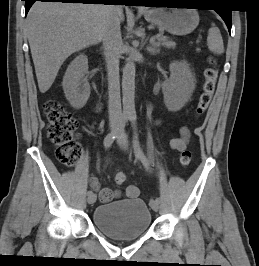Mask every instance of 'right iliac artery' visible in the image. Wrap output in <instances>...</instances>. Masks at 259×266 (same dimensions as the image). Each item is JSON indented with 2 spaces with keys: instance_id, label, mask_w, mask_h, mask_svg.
<instances>
[{
  "instance_id": "1",
  "label": "right iliac artery",
  "mask_w": 259,
  "mask_h": 266,
  "mask_svg": "<svg viewBox=\"0 0 259 266\" xmlns=\"http://www.w3.org/2000/svg\"><path fill=\"white\" fill-rule=\"evenodd\" d=\"M128 120H129V116L124 115V116L122 117V119H121V122H120V125L118 126V128H117L116 130L112 131L111 133H109V134L105 137V139H104V146H105L106 149H108V148L112 145L113 141H114L115 138L117 137L118 132H119L122 128L125 127V125H126V123L128 122ZM87 194H88V196H90V195L93 194V192L90 190V191H88Z\"/></svg>"
}]
</instances>
